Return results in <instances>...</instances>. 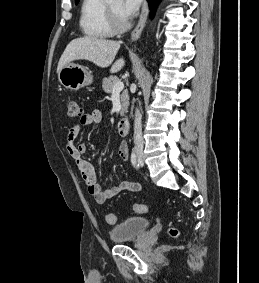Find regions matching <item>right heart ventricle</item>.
I'll use <instances>...</instances> for the list:
<instances>
[{
  "label": "right heart ventricle",
  "mask_w": 259,
  "mask_h": 283,
  "mask_svg": "<svg viewBox=\"0 0 259 283\" xmlns=\"http://www.w3.org/2000/svg\"><path fill=\"white\" fill-rule=\"evenodd\" d=\"M80 27L87 37L93 39H104L114 34L106 8V0L82 1Z\"/></svg>",
  "instance_id": "right-heart-ventricle-1"
}]
</instances>
